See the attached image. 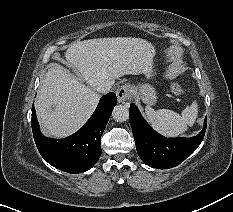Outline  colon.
I'll return each mask as SVG.
<instances>
[{"label": "colon", "mask_w": 233, "mask_h": 212, "mask_svg": "<svg viewBox=\"0 0 233 212\" xmlns=\"http://www.w3.org/2000/svg\"><path fill=\"white\" fill-rule=\"evenodd\" d=\"M171 91L175 94V95H183L184 94V90L181 87L180 84L178 83H172L171 84Z\"/></svg>", "instance_id": "obj_1"}]
</instances>
